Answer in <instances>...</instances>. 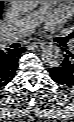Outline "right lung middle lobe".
Instances as JSON below:
<instances>
[{"mask_svg":"<svg viewBox=\"0 0 74 122\" xmlns=\"http://www.w3.org/2000/svg\"><path fill=\"white\" fill-rule=\"evenodd\" d=\"M2 7H3V3L1 4V10H2Z\"/></svg>","mask_w":74,"mask_h":122,"instance_id":"1","label":"right lung middle lobe"}]
</instances>
